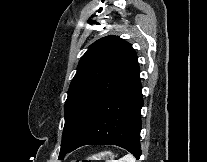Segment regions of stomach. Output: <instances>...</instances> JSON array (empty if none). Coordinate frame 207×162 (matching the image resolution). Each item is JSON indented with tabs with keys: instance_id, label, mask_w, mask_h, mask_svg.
Segmentation results:
<instances>
[{
	"instance_id": "1",
	"label": "stomach",
	"mask_w": 207,
	"mask_h": 162,
	"mask_svg": "<svg viewBox=\"0 0 207 162\" xmlns=\"http://www.w3.org/2000/svg\"><path fill=\"white\" fill-rule=\"evenodd\" d=\"M111 157V152L110 151H102L98 154H95L92 156V158H97V159H109Z\"/></svg>"
}]
</instances>
